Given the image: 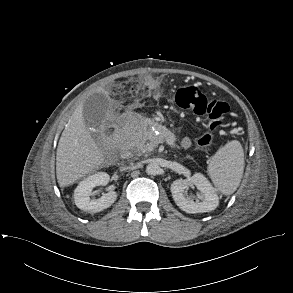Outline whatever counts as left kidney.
I'll use <instances>...</instances> for the list:
<instances>
[{
    "instance_id": "5707ae66",
    "label": "left kidney",
    "mask_w": 293,
    "mask_h": 293,
    "mask_svg": "<svg viewBox=\"0 0 293 293\" xmlns=\"http://www.w3.org/2000/svg\"><path fill=\"white\" fill-rule=\"evenodd\" d=\"M191 185H195L202 193L203 200L201 202L185 197L184 192ZM171 193L176 205L187 213L209 212L216 209L219 204V197L215 189L201 173H196L189 179L175 180L171 184Z\"/></svg>"
}]
</instances>
